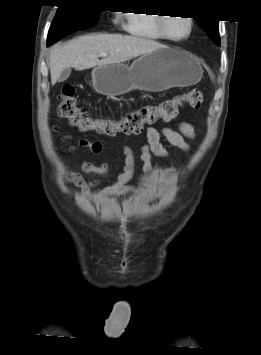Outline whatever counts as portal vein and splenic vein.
I'll use <instances>...</instances> for the list:
<instances>
[{
    "instance_id": "1",
    "label": "portal vein and splenic vein",
    "mask_w": 261,
    "mask_h": 355,
    "mask_svg": "<svg viewBox=\"0 0 261 355\" xmlns=\"http://www.w3.org/2000/svg\"><path fill=\"white\" fill-rule=\"evenodd\" d=\"M107 55L108 54L106 52H102V53L99 54V56H101V57H106Z\"/></svg>"
}]
</instances>
